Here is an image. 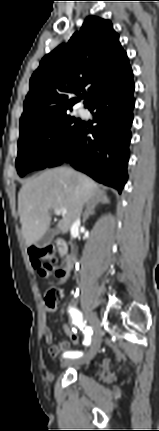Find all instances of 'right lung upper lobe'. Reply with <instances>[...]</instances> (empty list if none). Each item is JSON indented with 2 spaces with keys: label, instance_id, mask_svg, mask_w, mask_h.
Instances as JSON below:
<instances>
[{
  "label": "right lung upper lobe",
  "instance_id": "cb5924a9",
  "mask_svg": "<svg viewBox=\"0 0 159 431\" xmlns=\"http://www.w3.org/2000/svg\"><path fill=\"white\" fill-rule=\"evenodd\" d=\"M132 76L126 52L109 20L88 17L66 44L43 57L30 79L20 130L66 112L87 88L89 108L103 93ZM81 98V96H80Z\"/></svg>",
  "mask_w": 159,
  "mask_h": 431
}]
</instances>
